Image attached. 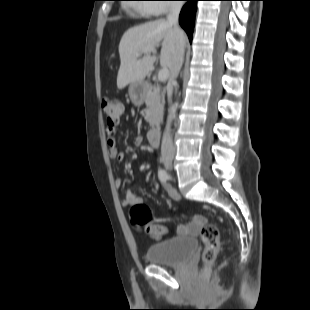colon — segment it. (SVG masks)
<instances>
[{
    "label": "colon",
    "mask_w": 310,
    "mask_h": 310,
    "mask_svg": "<svg viewBox=\"0 0 310 310\" xmlns=\"http://www.w3.org/2000/svg\"><path fill=\"white\" fill-rule=\"evenodd\" d=\"M102 110L106 116L108 126H116L119 117L123 112V105L120 101L112 98L102 100ZM131 221L136 226H143L157 219L152 211L142 203L134 204L130 210ZM200 236L204 244L203 261L206 265L215 262L220 249V235L216 225L210 223H202Z\"/></svg>",
    "instance_id": "5ec220e1"
}]
</instances>
